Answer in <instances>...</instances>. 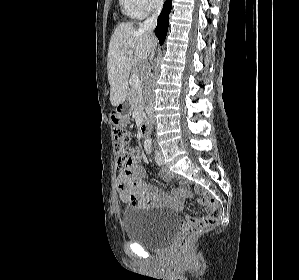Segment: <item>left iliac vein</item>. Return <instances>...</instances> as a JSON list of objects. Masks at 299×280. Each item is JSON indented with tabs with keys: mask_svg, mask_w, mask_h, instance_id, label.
<instances>
[{
	"mask_svg": "<svg viewBox=\"0 0 299 280\" xmlns=\"http://www.w3.org/2000/svg\"><path fill=\"white\" fill-rule=\"evenodd\" d=\"M155 160L158 165L164 164V157H163V154L161 153V151L156 152Z\"/></svg>",
	"mask_w": 299,
	"mask_h": 280,
	"instance_id": "1",
	"label": "left iliac vein"
}]
</instances>
